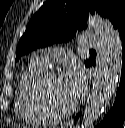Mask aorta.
I'll use <instances>...</instances> for the list:
<instances>
[{
  "mask_svg": "<svg viewBox=\"0 0 125 128\" xmlns=\"http://www.w3.org/2000/svg\"><path fill=\"white\" fill-rule=\"evenodd\" d=\"M88 23L99 38L96 77L83 112L82 128H91L103 114L115 93L121 70L122 45L112 24L99 16Z\"/></svg>",
  "mask_w": 125,
  "mask_h": 128,
  "instance_id": "762f6f07",
  "label": "aorta"
}]
</instances>
